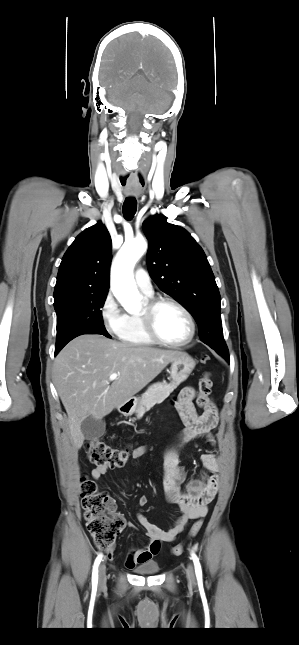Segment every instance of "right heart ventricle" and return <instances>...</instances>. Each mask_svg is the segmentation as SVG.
Listing matches in <instances>:
<instances>
[{"label":"right heart ventricle","mask_w":299,"mask_h":645,"mask_svg":"<svg viewBox=\"0 0 299 645\" xmlns=\"http://www.w3.org/2000/svg\"><path fill=\"white\" fill-rule=\"evenodd\" d=\"M119 338L124 343L134 346H149L155 344L143 327L140 313L126 314L125 324Z\"/></svg>","instance_id":"obj_1"}]
</instances>
